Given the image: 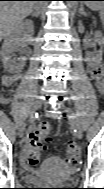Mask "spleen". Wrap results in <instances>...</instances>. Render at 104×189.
Returning a JSON list of instances; mask_svg holds the SVG:
<instances>
[{"label": "spleen", "mask_w": 104, "mask_h": 189, "mask_svg": "<svg viewBox=\"0 0 104 189\" xmlns=\"http://www.w3.org/2000/svg\"><path fill=\"white\" fill-rule=\"evenodd\" d=\"M86 5L92 10H99L102 8V2L100 1H87Z\"/></svg>", "instance_id": "spleen-1"}]
</instances>
